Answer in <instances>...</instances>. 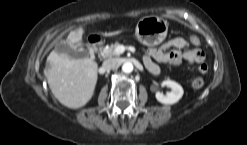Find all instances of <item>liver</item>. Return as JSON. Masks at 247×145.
<instances>
[{
    "label": "liver",
    "mask_w": 247,
    "mask_h": 145,
    "mask_svg": "<svg viewBox=\"0 0 247 145\" xmlns=\"http://www.w3.org/2000/svg\"><path fill=\"white\" fill-rule=\"evenodd\" d=\"M119 33L117 31L105 35ZM82 34V28L72 31L65 42L80 45ZM44 75L55 98L68 108L78 109L85 106L94 94L98 64L91 58L73 59L65 53L58 54L54 50L47 57Z\"/></svg>",
    "instance_id": "liver-1"
}]
</instances>
